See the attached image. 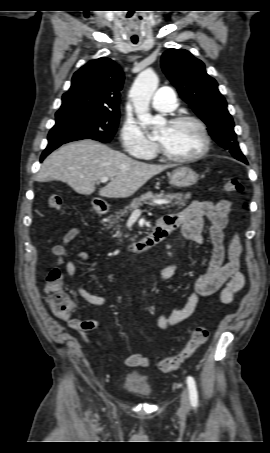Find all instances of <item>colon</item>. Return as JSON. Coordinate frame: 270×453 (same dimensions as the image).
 Segmentation results:
<instances>
[{
  "label": "colon",
  "instance_id": "1",
  "mask_svg": "<svg viewBox=\"0 0 270 453\" xmlns=\"http://www.w3.org/2000/svg\"><path fill=\"white\" fill-rule=\"evenodd\" d=\"M223 187L225 191L230 193H239L243 190L242 184L234 178L227 179ZM48 203L52 209L57 211H61L64 207L63 199L59 195H51ZM46 293L50 309L54 314L60 317H67L72 314L75 304L64 288L63 274L60 269L53 268L48 272L46 276ZM208 334L206 327H196L189 341L179 353L172 357L164 358L159 362V369L165 372L178 369L184 361L191 358L197 349L207 341Z\"/></svg>",
  "mask_w": 270,
  "mask_h": 453
}]
</instances>
